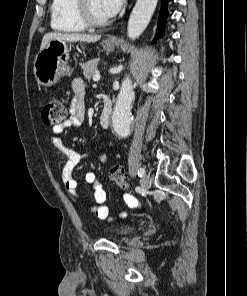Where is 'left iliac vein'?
I'll return each instance as SVG.
<instances>
[{
  "instance_id": "4c4485c4",
  "label": "left iliac vein",
  "mask_w": 247,
  "mask_h": 296,
  "mask_svg": "<svg viewBox=\"0 0 247 296\" xmlns=\"http://www.w3.org/2000/svg\"><path fill=\"white\" fill-rule=\"evenodd\" d=\"M141 186L143 189L147 190L150 186L149 177L147 175H143L141 178Z\"/></svg>"
}]
</instances>
